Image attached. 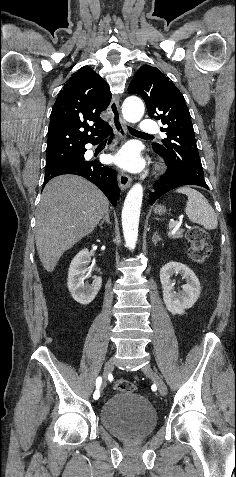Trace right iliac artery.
I'll use <instances>...</instances> for the list:
<instances>
[{
    "instance_id": "right-iliac-artery-1",
    "label": "right iliac artery",
    "mask_w": 236,
    "mask_h": 477,
    "mask_svg": "<svg viewBox=\"0 0 236 477\" xmlns=\"http://www.w3.org/2000/svg\"><path fill=\"white\" fill-rule=\"evenodd\" d=\"M101 383H102V378L99 376V377L96 379V390H95V392H94V394H93V398H94L95 401L98 400V399H100V397H101V396H100V391H99V388H100V386H101Z\"/></svg>"
}]
</instances>
